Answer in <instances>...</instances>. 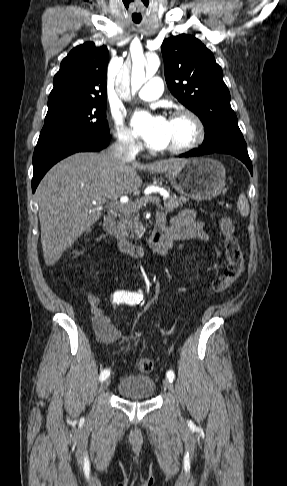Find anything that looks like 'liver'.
Masks as SVG:
<instances>
[{
    "label": "liver",
    "mask_w": 287,
    "mask_h": 486,
    "mask_svg": "<svg viewBox=\"0 0 287 486\" xmlns=\"http://www.w3.org/2000/svg\"><path fill=\"white\" fill-rule=\"evenodd\" d=\"M184 161L168 159L144 165L122 161L107 150L76 153L57 163L36 190L46 265H54L63 252L101 217L102 200L116 202L119 197L141 187L138 170L164 173Z\"/></svg>",
    "instance_id": "liver-1"
}]
</instances>
